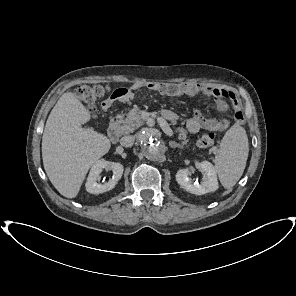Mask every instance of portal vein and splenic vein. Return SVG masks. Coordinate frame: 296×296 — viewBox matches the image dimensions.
I'll list each match as a JSON object with an SVG mask.
<instances>
[{
  "label": "portal vein and splenic vein",
  "instance_id": "portal-vein-and-splenic-vein-1",
  "mask_svg": "<svg viewBox=\"0 0 296 296\" xmlns=\"http://www.w3.org/2000/svg\"><path fill=\"white\" fill-rule=\"evenodd\" d=\"M160 126L162 128V130L164 131V133L168 136H172L173 135V131L172 129L169 127L168 123L164 120L160 121Z\"/></svg>",
  "mask_w": 296,
  "mask_h": 296
}]
</instances>
